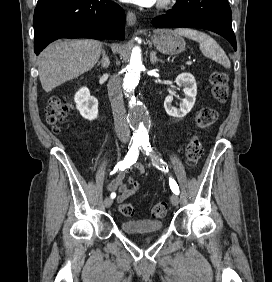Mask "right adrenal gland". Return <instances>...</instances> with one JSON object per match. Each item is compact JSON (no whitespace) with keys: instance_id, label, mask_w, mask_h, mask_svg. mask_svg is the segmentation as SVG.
I'll use <instances>...</instances> for the list:
<instances>
[{"instance_id":"right-adrenal-gland-1","label":"right adrenal gland","mask_w":272,"mask_h":282,"mask_svg":"<svg viewBox=\"0 0 272 282\" xmlns=\"http://www.w3.org/2000/svg\"><path fill=\"white\" fill-rule=\"evenodd\" d=\"M102 65L103 68H107L110 65V59L106 54V51L102 49V59L98 62V65Z\"/></svg>"}]
</instances>
